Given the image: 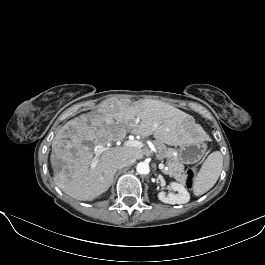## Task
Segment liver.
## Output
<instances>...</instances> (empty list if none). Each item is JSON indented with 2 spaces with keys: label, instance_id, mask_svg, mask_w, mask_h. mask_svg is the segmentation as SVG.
Returning <instances> with one entry per match:
<instances>
[{
  "label": "liver",
  "instance_id": "6515ba94",
  "mask_svg": "<svg viewBox=\"0 0 265 265\" xmlns=\"http://www.w3.org/2000/svg\"><path fill=\"white\" fill-rule=\"evenodd\" d=\"M190 119L188 114L160 101L105 100L96 112L71 119L58 130L50 157L53 169H59L54 182L76 200H92L109 189L119 161L144 156L141 148L109 147L112 142L122 140L131 130L143 137L153 135L160 143L183 145L192 141ZM97 146L108 149L91 168Z\"/></svg>",
  "mask_w": 265,
  "mask_h": 265
}]
</instances>
